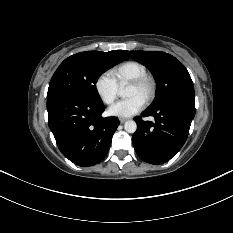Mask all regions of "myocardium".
Segmentation results:
<instances>
[{"mask_svg":"<svg viewBox=\"0 0 233 233\" xmlns=\"http://www.w3.org/2000/svg\"><path fill=\"white\" fill-rule=\"evenodd\" d=\"M129 85L143 89L145 92L144 101L149 103L155 96L156 93V82L155 80L149 76L144 75L133 79L129 82Z\"/></svg>","mask_w":233,"mask_h":233,"instance_id":"1","label":"myocardium"}]
</instances>
